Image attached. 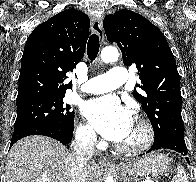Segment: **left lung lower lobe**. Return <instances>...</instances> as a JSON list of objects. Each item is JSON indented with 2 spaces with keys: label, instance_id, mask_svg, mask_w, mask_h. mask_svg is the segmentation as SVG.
Instances as JSON below:
<instances>
[{
  "label": "left lung lower lobe",
  "instance_id": "left-lung-lower-lobe-1",
  "mask_svg": "<svg viewBox=\"0 0 196 182\" xmlns=\"http://www.w3.org/2000/svg\"><path fill=\"white\" fill-rule=\"evenodd\" d=\"M158 149L174 150L183 156H186L188 154V150L184 139H180L172 136H167L159 140H154V143L152 147L148 150V152L155 151ZM186 160L189 163V159L186 158Z\"/></svg>",
  "mask_w": 196,
  "mask_h": 182
}]
</instances>
